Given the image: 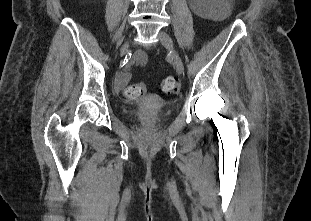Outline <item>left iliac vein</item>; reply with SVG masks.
Returning <instances> with one entry per match:
<instances>
[{
	"mask_svg": "<svg viewBox=\"0 0 311 221\" xmlns=\"http://www.w3.org/2000/svg\"><path fill=\"white\" fill-rule=\"evenodd\" d=\"M158 38H159L160 43L165 48H167L168 50H170L172 52L176 70L179 74H182L184 72V65H183L181 57L179 56V54L174 49V44H173L172 38L169 36L168 33L164 32V31L159 32Z\"/></svg>",
	"mask_w": 311,
	"mask_h": 221,
	"instance_id": "1",
	"label": "left iliac vein"
}]
</instances>
